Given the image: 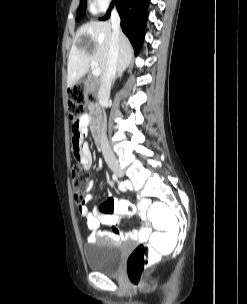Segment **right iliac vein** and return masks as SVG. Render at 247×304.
I'll return each mask as SVG.
<instances>
[{"label": "right iliac vein", "instance_id": "1", "mask_svg": "<svg viewBox=\"0 0 247 304\" xmlns=\"http://www.w3.org/2000/svg\"><path fill=\"white\" fill-rule=\"evenodd\" d=\"M110 167L117 176L122 177L124 175L123 170L117 164H111Z\"/></svg>", "mask_w": 247, "mask_h": 304}]
</instances>
